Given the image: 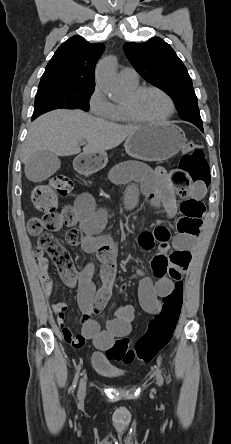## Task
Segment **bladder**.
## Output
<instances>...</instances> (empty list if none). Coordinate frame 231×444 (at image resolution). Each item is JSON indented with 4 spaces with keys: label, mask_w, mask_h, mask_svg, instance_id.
Wrapping results in <instances>:
<instances>
[{
    "label": "bladder",
    "mask_w": 231,
    "mask_h": 444,
    "mask_svg": "<svg viewBox=\"0 0 231 444\" xmlns=\"http://www.w3.org/2000/svg\"><path fill=\"white\" fill-rule=\"evenodd\" d=\"M95 372L103 377H116L121 375V372L110 362V359L97 352L92 358Z\"/></svg>",
    "instance_id": "1"
}]
</instances>
